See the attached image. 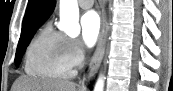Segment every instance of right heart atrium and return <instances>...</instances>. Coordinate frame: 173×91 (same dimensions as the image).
<instances>
[{"label":"right heart atrium","instance_id":"1","mask_svg":"<svg viewBox=\"0 0 173 91\" xmlns=\"http://www.w3.org/2000/svg\"><path fill=\"white\" fill-rule=\"evenodd\" d=\"M65 52L70 65L74 67L80 66L85 57L83 44L76 38H65Z\"/></svg>","mask_w":173,"mask_h":91}]
</instances>
